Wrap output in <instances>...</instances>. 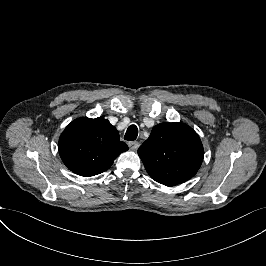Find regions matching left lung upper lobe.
Returning a JSON list of instances; mask_svg holds the SVG:
<instances>
[{"label": "left lung upper lobe", "instance_id": "1", "mask_svg": "<svg viewBox=\"0 0 266 266\" xmlns=\"http://www.w3.org/2000/svg\"><path fill=\"white\" fill-rule=\"evenodd\" d=\"M148 174L158 183L175 186L193 177L204 150L197 133L182 123H160L139 147Z\"/></svg>", "mask_w": 266, "mask_h": 266}]
</instances>
